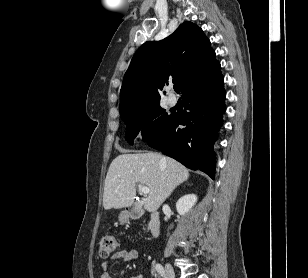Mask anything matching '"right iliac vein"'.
Instances as JSON below:
<instances>
[{
  "mask_svg": "<svg viewBox=\"0 0 308 278\" xmlns=\"http://www.w3.org/2000/svg\"><path fill=\"white\" fill-rule=\"evenodd\" d=\"M166 278H175V272L171 264L167 263L165 265Z\"/></svg>",
  "mask_w": 308,
  "mask_h": 278,
  "instance_id": "1",
  "label": "right iliac vein"
}]
</instances>
